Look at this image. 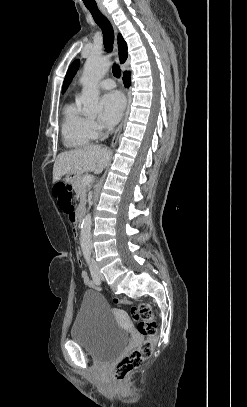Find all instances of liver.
<instances>
[{"label": "liver", "instance_id": "1", "mask_svg": "<svg viewBox=\"0 0 247 407\" xmlns=\"http://www.w3.org/2000/svg\"><path fill=\"white\" fill-rule=\"evenodd\" d=\"M111 153L100 145H90L60 153L53 166V182L65 174L82 175L84 172L99 174L107 165Z\"/></svg>", "mask_w": 247, "mask_h": 407}]
</instances>
